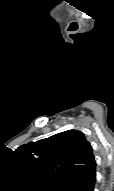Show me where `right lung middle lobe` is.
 <instances>
[{"mask_svg": "<svg viewBox=\"0 0 114 191\" xmlns=\"http://www.w3.org/2000/svg\"><path fill=\"white\" fill-rule=\"evenodd\" d=\"M47 190H50V191H57V188H50V189H47Z\"/></svg>", "mask_w": 114, "mask_h": 191, "instance_id": "1", "label": "right lung middle lobe"}]
</instances>
